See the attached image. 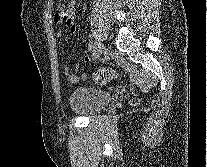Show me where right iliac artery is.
Segmentation results:
<instances>
[{
  "instance_id": "right-iliac-artery-1",
  "label": "right iliac artery",
  "mask_w": 207,
  "mask_h": 167,
  "mask_svg": "<svg viewBox=\"0 0 207 167\" xmlns=\"http://www.w3.org/2000/svg\"><path fill=\"white\" fill-rule=\"evenodd\" d=\"M94 48H95V43L93 42H89V45H88V51H94Z\"/></svg>"
}]
</instances>
